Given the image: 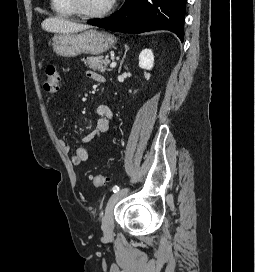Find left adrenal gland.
I'll return each mask as SVG.
<instances>
[{"instance_id":"1","label":"left adrenal gland","mask_w":255,"mask_h":272,"mask_svg":"<svg viewBox=\"0 0 255 272\" xmlns=\"http://www.w3.org/2000/svg\"><path fill=\"white\" fill-rule=\"evenodd\" d=\"M124 47H125V53H124V56H123V58H122V60H121V62H120V66H119L118 73H120V71H121L123 61H124V59H125V57H126V53H127V51L129 50L128 45H124Z\"/></svg>"}]
</instances>
